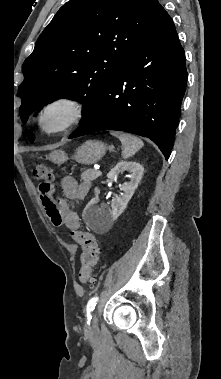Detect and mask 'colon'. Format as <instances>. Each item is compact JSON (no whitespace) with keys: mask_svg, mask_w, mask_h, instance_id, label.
Returning <instances> with one entry per match:
<instances>
[{"mask_svg":"<svg viewBox=\"0 0 221 379\" xmlns=\"http://www.w3.org/2000/svg\"><path fill=\"white\" fill-rule=\"evenodd\" d=\"M33 176L40 183V193L47 194L52 189L54 174L53 169L50 166L45 164L37 165L33 170ZM71 236L81 245L83 250L81 255L79 279L82 283H89L92 281V269L99 261V242L92 233L82 230H72Z\"/></svg>","mask_w":221,"mask_h":379,"instance_id":"colon-1","label":"colon"}]
</instances>
